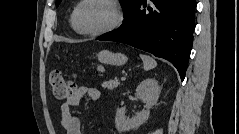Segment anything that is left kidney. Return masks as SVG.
<instances>
[{
  "label": "left kidney",
  "mask_w": 239,
  "mask_h": 134,
  "mask_svg": "<svg viewBox=\"0 0 239 134\" xmlns=\"http://www.w3.org/2000/svg\"><path fill=\"white\" fill-rule=\"evenodd\" d=\"M161 89L154 78L143 80L136 88V95L145 103L146 110L137 112L131 118L125 115L124 107L116 112L115 126L119 132L139 128L150 115V109L157 103Z\"/></svg>",
  "instance_id": "obj_1"
}]
</instances>
